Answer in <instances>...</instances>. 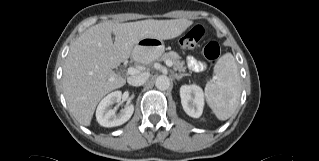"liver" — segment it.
Instances as JSON below:
<instances>
[{"mask_svg": "<svg viewBox=\"0 0 319 161\" xmlns=\"http://www.w3.org/2000/svg\"><path fill=\"white\" fill-rule=\"evenodd\" d=\"M192 24L187 19L106 21L82 33L70 47L62 78L63 93L75 119L81 125L89 126L103 96L125 85L126 79L113 69L133 54V48L141 39H173Z\"/></svg>", "mask_w": 319, "mask_h": 161, "instance_id": "1", "label": "liver"}]
</instances>
